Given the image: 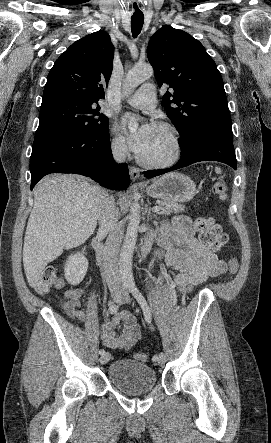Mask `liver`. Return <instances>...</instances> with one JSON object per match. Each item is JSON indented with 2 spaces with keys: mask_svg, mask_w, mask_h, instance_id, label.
Listing matches in <instances>:
<instances>
[{
  "mask_svg": "<svg viewBox=\"0 0 271 443\" xmlns=\"http://www.w3.org/2000/svg\"><path fill=\"white\" fill-rule=\"evenodd\" d=\"M102 188L77 174L43 178L33 190L34 206L27 223L23 265L36 287L47 263L92 235L101 212Z\"/></svg>",
  "mask_w": 271,
  "mask_h": 443,
  "instance_id": "obj_1",
  "label": "liver"
}]
</instances>
